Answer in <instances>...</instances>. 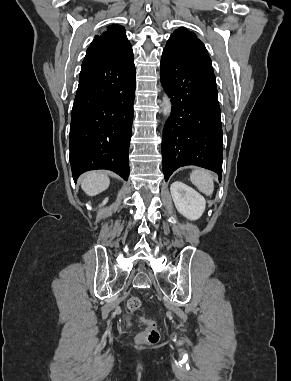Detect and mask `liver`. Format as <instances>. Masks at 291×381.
<instances>
[{"instance_id": "liver-1", "label": "liver", "mask_w": 291, "mask_h": 381, "mask_svg": "<svg viewBox=\"0 0 291 381\" xmlns=\"http://www.w3.org/2000/svg\"><path fill=\"white\" fill-rule=\"evenodd\" d=\"M109 184L108 176L100 171L87 172L81 179V188L89 196H95L105 191Z\"/></svg>"}]
</instances>
